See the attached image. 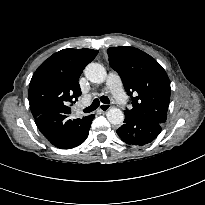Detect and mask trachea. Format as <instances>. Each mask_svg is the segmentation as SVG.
<instances>
[{
    "instance_id": "trachea-1",
    "label": "trachea",
    "mask_w": 205,
    "mask_h": 205,
    "mask_svg": "<svg viewBox=\"0 0 205 205\" xmlns=\"http://www.w3.org/2000/svg\"><path fill=\"white\" fill-rule=\"evenodd\" d=\"M100 101L104 104H109L110 103V100L108 99L107 96H101ZM100 101H99V99H95L89 107H87L83 110V112L90 113V112L94 111L95 109L98 108V106L100 104Z\"/></svg>"
}]
</instances>
